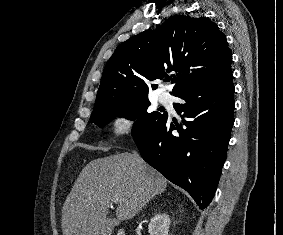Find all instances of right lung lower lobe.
<instances>
[{"label": "right lung lower lobe", "mask_w": 283, "mask_h": 235, "mask_svg": "<svg viewBox=\"0 0 283 235\" xmlns=\"http://www.w3.org/2000/svg\"><path fill=\"white\" fill-rule=\"evenodd\" d=\"M232 71L185 88L174 96L182 123L168 115L134 141L143 159L169 181L185 189L200 209L212 201L226 159L234 124ZM173 130L177 132L172 133Z\"/></svg>", "instance_id": "right-lung-lower-lobe-1"}]
</instances>
